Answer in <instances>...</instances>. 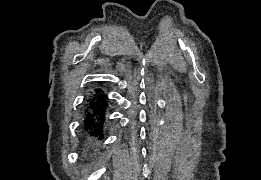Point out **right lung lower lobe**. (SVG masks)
Wrapping results in <instances>:
<instances>
[{"label": "right lung lower lobe", "instance_id": "1", "mask_svg": "<svg viewBox=\"0 0 261 180\" xmlns=\"http://www.w3.org/2000/svg\"><path fill=\"white\" fill-rule=\"evenodd\" d=\"M107 107V95H105L100 89H96L89 99H87L83 109L85 115L84 125L93 129L94 134L102 133Z\"/></svg>", "mask_w": 261, "mask_h": 180}]
</instances>
